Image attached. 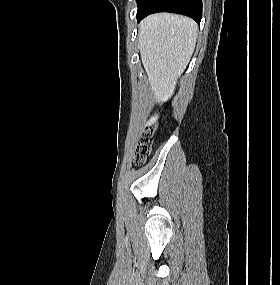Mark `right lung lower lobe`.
Wrapping results in <instances>:
<instances>
[{
	"label": "right lung lower lobe",
	"instance_id": "right-lung-lower-lobe-1",
	"mask_svg": "<svg viewBox=\"0 0 280 285\" xmlns=\"http://www.w3.org/2000/svg\"><path fill=\"white\" fill-rule=\"evenodd\" d=\"M156 12L183 14L199 24L202 18V0H143L138 5L137 19L140 21Z\"/></svg>",
	"mask_w": 280,
	"mask_h": 285
}]
</instances>
